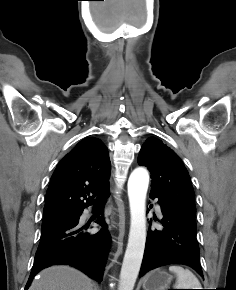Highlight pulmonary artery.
Wrapping results in <instances>:
<instances>
[{
  "mask_svg": "<svg viewBox=\"0 0 236 290\" xmlns=\"http://www.w3.org/2000/svg\"><path fill=\"white\" fill-rule=\"evenodd\" d=\"M156 210H157V212H158L159 214H161V209H160V206H159V205L156 206Z\"/></svg>",
  "mask_w": 236,
  "mask_h": 290,
  "instance_id": "obj_1",
  "label": "pulmonary artery"
}]
</instances>
